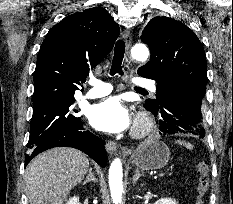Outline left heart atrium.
<instances>
[{
  "label": "left heart atrium",
  "mask_w": 233,
  "mask_h": 204,
  "mask_svg": "<svg viewBox=\"0 0 233 204\" xmlns=\"http://www.w3.org/2000/svg\"><path fill=\"white\" fill-rule=\"evenodd\" d=\"M88 119L95 129L106 133H120L131 125L130 112L118 97H110L93 105Z\"/></svg>",
  "instance_id": "obj_1"
}]
</instances>
